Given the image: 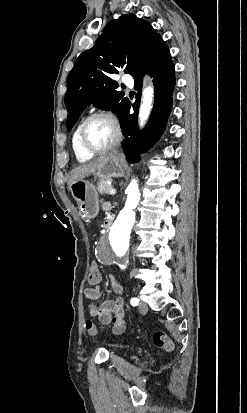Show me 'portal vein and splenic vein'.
<instances>
[{
	"label": "portal vein and splenic vein",
	"mask_w": 247,
	"mask_h": 413,
	"mask_svg": "<svg viewBox=\"0 0 247 413\" xmlns=\"http://www.w3.org/2000/svg\"><path fill=\"white\" fill-rule=\"evenodd\" d=\"M110 194H115L116 192V188H111V190H109Z\"/></svg>",
	"instance_id": "1"
}]
</instances>
